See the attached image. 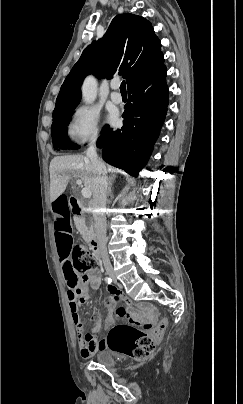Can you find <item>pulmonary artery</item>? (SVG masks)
I'll list each match as a JSON object with an SVG mask.
<instances>
[{"instance_id": "pulmonary-artery-1", "label": "pulmonary artery", "mask_w": 243, "mask_h": 404, "mask_svg": "<svg viewBox=\"0 0 243 404\" xmlns=\"http://www.w3.org/2000/svg\"><path fill=\"white\" fill-rule=\"evenodd\" d=\"M120 88V79L119 77H115L111 80V100L116 103L119 104L122 102V94L119 91Z\"/></svg>"}]
</instances>
